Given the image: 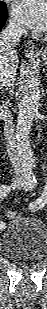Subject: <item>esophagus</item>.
Listing matches in <instances>:
<instances>
[{
    "label": "esophagus",
    "instance_id": "34e87169",
    "mask_svg": "<svg viewBox=\"0 0 47 309\" xmlns=\"http://www.w3.org/2000/svg\"><path fill=\"white\" fill-rule=\"evenodd\" d=\"M35 52H36V48H35L34 42L28 39L25 42V54L28 56H32L35 54Z\"/></svg>",
    "mask_w": 47,
    "mask_h": 309
}]
</instances>
